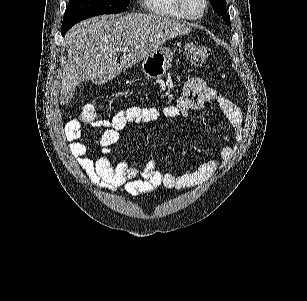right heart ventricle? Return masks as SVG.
Here are the masks:
<instances>
[{"instance_id": "obj_1", "label": "right heart ventricle", "mask_w": 307, "mask_h": 301, "mask_svg": "<svg viewBox=\"0 0 307 301\" xmlns=\"http://www.w3.org/2000/svg\"><path fill=\"white\" fill-rule=\"evenodd\" d=\"M149 4V13H155V17H182L183 12L174 9L178 5L176 0H146Z\"/></svg>"}]
</instances>
